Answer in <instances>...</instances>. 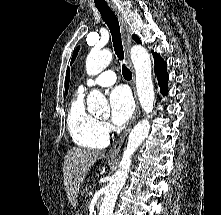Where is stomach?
Returning a JSON list of instances; mask_svg holds the SVG:
<instances>
[{
  "instance_id": "stomach-1",
  "label": "stomach",
  "mask_w": 221,
  "mask_h": 215,
  "mask_svg": "<svg viewBox=\"0 0 221 215\" xmlns=\"http://www.w3.org/2000/svg\"><path fill=\"white\" fill-rule=\"evenodd\" d=\"M73 215H80L79 213H75V214H73Z\"/></svg>"
}]
</instances>
